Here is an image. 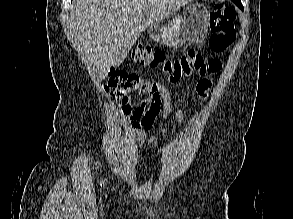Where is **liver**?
I'll return each instance as SVG.
<instances>
[{
  "label": "liver",
  "instance_id": "6515ba94",
  "mask_svg": "<svg viewBox=\"0 0 293 219\" xmlns=\"http://www.w3.org/2000/svg\"><path fill=\"white\" fill-rule=\"evenodd\" d=\"M193 0H73L70 26L77 50L102 80L119 66L150 25Z\"/></svg>",
  "mask_w": 293,
  "mask_h": 219
}]
</instances>
